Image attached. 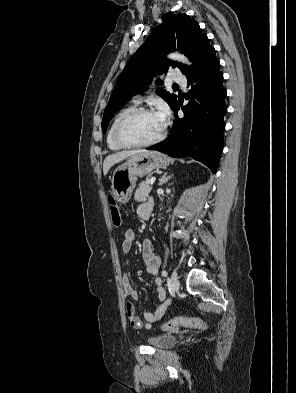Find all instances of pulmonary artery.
<instances>
[{
    "label": "pulmonary artery",
    "instance_id": "e3ab8cb5",
    "mask_svg": "<svg viewBox=\"0 0 296 393\" xmlns=\"http://www.w3.org/2000/svg\"><path fill=\"white\" fill-rule=\"evenodd\" d=\"M172 81H174V82H176V83H179V84H181L182 86H185V85L187 84L186 78H185L183 75L178 74V73H174V74L172 75ZM139 101H140V97H136V98L134 99V102H135V103H138Z\"/></svg>",
    "mask_w": 296,
    "mask_h": 393
}]
</instances>
